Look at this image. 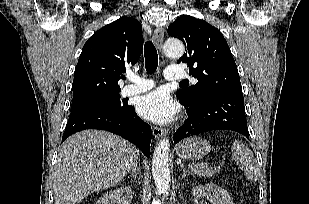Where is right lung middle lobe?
Wrapping results in <instances>:
<instances>
[{"label":"right lung middle lobe","instance_id":"obj_1","mask_svg":"<svg viewBox=\"0 0 309 204\" xmlns=\"http://www.w3.org/2000/svg\"><path fill=\"white\" fill-rule=\"evenodd\" d=\"M126 105L121 104L119 93L108 94L105 96L97 97L87 101L74 103L71 105V112L92 109V108H101V109H111L115 111H121L125 109Z\"/></svg>","mask_w":309,"mask_h":204}]
</instances>
